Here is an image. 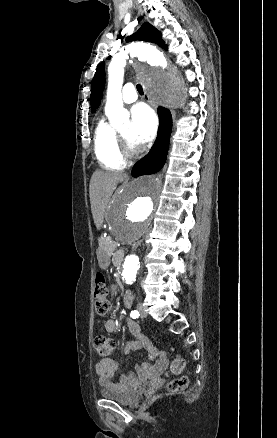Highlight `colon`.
<instances>
[{
	"mask_svg": "<svg viewBox=\"0 0 277 438\" xmlns=\"http://www.w3.org/2000/svg\"><path fill=\"white\" fill-rule=\"evenodd\" d=\"M107 285H106V277L103 273L97 272L95 274V303L94 308L96 314L100 317H104L107 315L110 302L107 299ZM95 350L100 359H105L114 351L115 342L114 340L102 333H98L93 340ZM185 365L184 358L180 355H176L173 359L171 365V372L173 374H179L183 371ZM188 386V379L186 377L176 378L173 380H169L168 389H165L163 395L165 398H172L174 395L173 391H179L182 389H186Z\"/></svg>",
	"mask_w": 277,
	"mask_h": 438,
	"instance_id": "1",
	"label": "colon"
}]
</instances>
